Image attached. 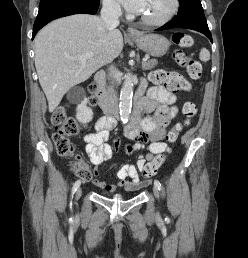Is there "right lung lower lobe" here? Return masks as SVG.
<instances>
[{
    "label": "right lung lower lobe",
    "instance_id": "obj_1",
    "mask_svg": "<svg viewBox=\"0 0 248 258\" xmlns=\"http://www.w3.org/2000/svg\"><path fill=\"white\" fill-rule=\"evenodd\" d=\"M99 4V0H63L40 7L34 22L32 39L50 21L79 13L96 14Z\"/></svg>",
    "mask_w": 248,
    "mask_h": 258
}]
</instances>
